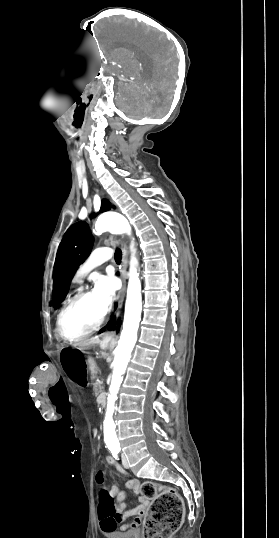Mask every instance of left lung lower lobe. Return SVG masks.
<instances>
[{
    "instance_id": "0a47b994",
    "label": "left lung lower lobe",
    "mask_w": 279,
    "mask_h": 538,
    "mask_svg": "<svg viewBox=\"0 0 279 538\" xmlns=\"http://www.w3.org/2000/svg\"><path fill=\"white\" fill-rule=\"evenodd\" d=\"M114 325H115V318H112V320L107 324V327H108L109 329H112V328H114ZM119 326H120V321H118V326H117V328H116L117 330H119ZM105 330H106V327L102 328V329L99 331V333H102V332H104Z\"/></svg>"
}]
</instances>
